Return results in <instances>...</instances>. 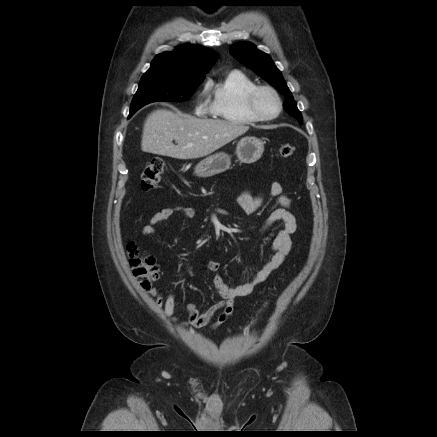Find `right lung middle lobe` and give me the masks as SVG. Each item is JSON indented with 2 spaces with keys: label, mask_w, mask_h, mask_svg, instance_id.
Here are the masks:
<instances>
[{
  "label": "right lung middle lobe",
  "mask_w": 437,
  "mask_h": 437,
  "mask_svg": "<svg viewBox=\"0 0 437 437\" xmlns=\"http://www.w3.org/2000/svg\"><path fill=\"white\" fill-rule=\"evenodd\" d=\"M203 80H185L165 72L145 73L132 100L129 117L151 102L186 101Z\"/></svg>",
  "instance_id": "dd1d6c3e"
}]
</instances>
